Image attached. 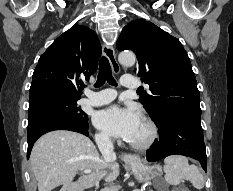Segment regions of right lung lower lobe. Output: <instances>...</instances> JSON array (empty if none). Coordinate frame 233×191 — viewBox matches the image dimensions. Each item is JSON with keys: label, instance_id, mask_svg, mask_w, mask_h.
<instances>
[{"label": "right lung lower lobe", "instance_id": "98d812e1", "mask_svg": "<svg viewBox=\"0 0 233 191\" xmlns=\"http://www.w3.org/2000/svg\"><path fill=\"white\" fill-rule=\"evenodd\" d=\"M53 130H70L88 136V123L80 122L59 114L41 113L37 115L28 122L27 158L30 156L34 142L43 134Z\"/></svg>", "mask_w": 233, "mask_h": 191}]
</instances>
